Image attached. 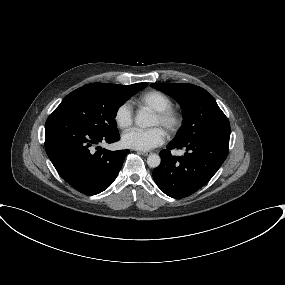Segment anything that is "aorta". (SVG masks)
<instances>
[{"mask_svg": "<svg viewBox=\"0 0 285 285\" xmlns=\"http://www.w3.org/2000/svg\"><path fill=\"white\" fill-rule=\"evenodd\" d=\"M135 124L140 128H147L152 126L151 116L148 112L140 110L135 117ZM161 158L157 154H150L147 158V164L151 168H156L160 165Z\"/></svg>", "mask_w": 285, "mask_h": 285, "instance_id": "1", "label": "aorta"}]
</instances>
